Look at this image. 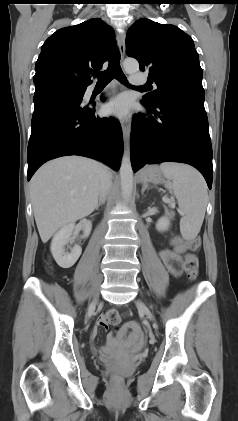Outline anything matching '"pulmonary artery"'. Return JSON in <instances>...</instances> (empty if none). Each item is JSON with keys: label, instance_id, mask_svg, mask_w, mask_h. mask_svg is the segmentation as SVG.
<instances>
[{"label": "pulmonary artery", "instance_id": "obj_1", "mask_svg": "<svg viewBox=\"0 0 238 421\" xmlns=\"http://www.w3.org/2000/svg\"><path fill=\"white\" fill-rule=\"evenodd\" d=\"M131 83L134 85H141L144 84L146 82V79L144 78L143 75L141 74H132L130 77ZM93 89V87H91L89 90L91 91Z\"/></svg>", "mask_w": 238, "mask_h": 421}]
</instances>
